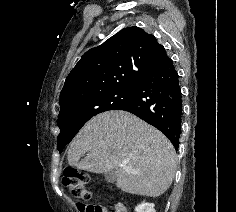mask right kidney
Masks as SVG:
<instances>
[{"instance_id": "obj_1", "label": "right kidney", "mask_w": 236, "mask_h": 212, "mask_svg": "<svg viewBox=\"0 0 236 212\" xmlns=\"http://www.w3.org/2000/svg\"><path fill=\"white\" fill-rule=\"evenodd\" d=\"M135 212H156L154 209V204L142 202L135 208Z\"/></svg>"}]
</instances>
